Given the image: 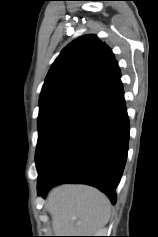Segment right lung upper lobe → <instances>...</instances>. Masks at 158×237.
Segmentation results:
<instances>
[{
  "mask_svg": "<svg viewBox=\"0 0 158 237\" xmlns=\"http://www.w3.org/2000/svg\"><path fill=\"white\" fill-rule=\"evenodd\" d=\"M119 79L111 49L96 35H84L68 44L51 66L39 103L67 98L83 104Z\"/></svg>",
  "mask_w": 158,
  "mask_h": 237,
  "instance_id": "right-lung-upper-lobe-1",
  "label": "right lung upper lobe"
}]
</instances>
